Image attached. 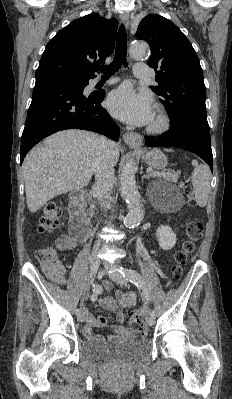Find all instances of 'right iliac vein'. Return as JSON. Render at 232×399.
<instances>
[{
	"label": "right iliac vein",
	"instance_id": "63e3f726",
	"mask_svg": "<svg viewBox=\"0 0 232 399\" xmlns=\"http://www.w3.org/2000/svg\"><path fill=\"white\" fill-rule=\"evenodd\" d=\"M97 270H100V261H90L89 262V272H90V280L94 281L95 277H97ZM79 320V323L84 322L83 316L79 315L76 317Z\"/></svg>",
	"mask_w": 232,
	"mask_h": 399
}]
</instances>
